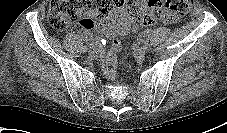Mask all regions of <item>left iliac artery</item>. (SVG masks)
<instances>
[{"label": "left iliac artery", "mask_w": 227, "mask_h": 133, "mask_svg": "<svg viewBox=\"0 0 227 133\" xmlns=\"http://www.w3.org/2000/svg\"><path fill=\"white\" fill-rule=\"evenodd\" d=\"M143 48L146 49V50H148V51L151 49V47H150V45L148 43H145L143 45Z\"/></svg>", "instance_id": "left-iliac-artery-1"}]
</instances>
